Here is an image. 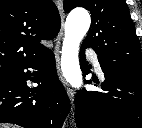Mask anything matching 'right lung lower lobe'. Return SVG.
<instances>
[{"label": "right lung lower lobe", "instance_id": "1", "mask_svg": "<svg viewBox=\"0 0 142 128\" xmlns=\"http://www.w3.org/2000/svg\"><path fill=\"white\" fill-rule=\"evenodd\" d=\"M27 68L36 71H24ZM27 80L38 86L30 88ZM69 111V98L49 49L0 80V122L25 128H61Z\"/></svg>", "mask_w": 142, "mask_h": 128}]
</instances>
